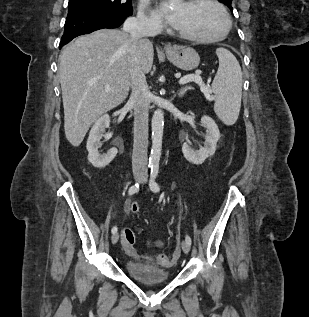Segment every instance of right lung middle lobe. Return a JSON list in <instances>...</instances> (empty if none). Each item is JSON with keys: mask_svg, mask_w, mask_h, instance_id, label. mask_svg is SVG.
<instances>
[{"mask_svg": "<svg viewBox=\"0 0 309 317\" xmlns=\"http://www.w3.org/2000/svg\"><path fill=\"white\" fill-rule=\"evenodd\" d=\"M69 10H98L130 16L133 13L131 0H69Z\"/></svg>", "mask_w": 309, "mask_h": 317, "instance_id": "1", "label": "right lung middle lobe"}]
</instances>
